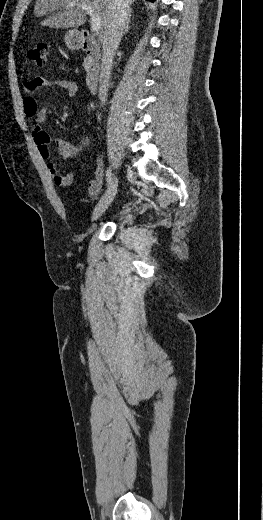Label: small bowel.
Masks as SVG:
<instances>
[{
    "label": "small bowel",
    "instance_id": "small-bowel-1",
    "mask_svg": "<svg viewBox=\"0 0 263 520\" xmlns=\"http://www.w3.org/2000/svg\"><path fill=\"white\" fill-rule=\"evenodd\" d=\"M56 87L68 96H74L77 93V85L70 80H49L44 77H35L25 84L24 111L27 117L32 120V137L38 148L41 157L47 161V168L52 176L54 183L61 188L69 187L73 182L70 173H62L56 165L50 160L51 154L49 144L50 135L42 128V123L46 120L48 110L45 107H39L35 94L42 87ZM58 154L63 159L78 156L88 147L90 138L83 135L77 143H71L63 139H55ZM104 177V165L100 159L95 161V170L92 178L88 183V195L95 196L100 188Z\"/></svg>",
    "mask_w": 263,
    "mask_h": 520
}]
</instances>
